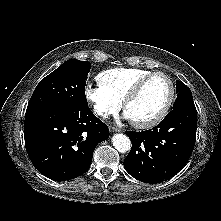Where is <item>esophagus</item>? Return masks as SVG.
Listing matches in <instances>:
<instances>
[{"label": "esophagus", "mask_w": 221, "mask_h": 221, "mask_svg": "<svg viewBox=\"0 0 221 221\" xmlns=\"http://www.w3.org/2000/svg\"><path fill=\"white\" fill-rule=\"evenodd\" d=\"M109 130H110V132H119V131H120L119 128L113 127V126H110V127H109Z\"/></svg>", "instance_id": "obj_1"}]
</instances>
